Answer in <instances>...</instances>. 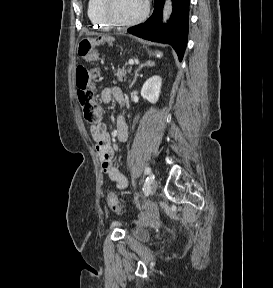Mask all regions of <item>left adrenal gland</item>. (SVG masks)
Returning a JSON list of instances; mask_svg holds the SVG:
<instances>
[{"mask_svg":"<svg viewBox=\"0 0 273 288\" xmlns=\"http://www.w3.org/2000/svg\"><path fill=\"white\" fill-rule=\"evenodd\" d=\"M155 63L153 61H147L146 63H143L139 66L138 69H136L135 71V76H134V79L130 85V88L134 85V83L136 82L137 80V77L139 76L138 72L143 68V67H151V66H154Z\"/></svg>","mask_w":273,"mask_h":288,"instance_id":"a2214340","label":"left adrenal gland"}]
</instances>
